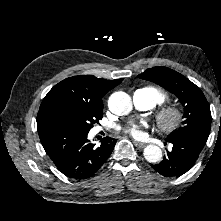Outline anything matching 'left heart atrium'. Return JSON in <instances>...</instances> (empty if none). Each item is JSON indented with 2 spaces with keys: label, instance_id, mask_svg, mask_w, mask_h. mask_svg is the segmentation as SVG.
Here are the masks:
<instances>
[{
  "label": "left heart atrium",
  "instance_id": "39dd6f15",
  "mask_svg": "<svg viewBox=\"0 0 221 221\" xmlns=\"http://www.w3.org/2000/svg\"><path fill=\"white\" fill-rule=\"evenodd\" d=\"M141 127H142L141 124L130 123L124 126L122 130L125 133L129 134L130 136L138 138V137H141L143 134Z\"/></svg>",
  "mask_w": 221,
  "mask_h": 221
}]
</instances>
